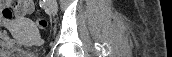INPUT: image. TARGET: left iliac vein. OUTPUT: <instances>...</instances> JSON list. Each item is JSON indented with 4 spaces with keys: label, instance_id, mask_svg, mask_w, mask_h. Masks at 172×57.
Here are the masks:
<instances>
[{
    "label": "left iliac vein",
    "instance_id": "obj_1",
    "mask_svg": "<svg viewBox=\"0 0 172 57\" xmlns=\"http://www.w3.org/2000/svg\"><path fill=\"white\" fill-rule=\"evenodd\" d=\"M47 8L50 14L55 15L58 8L56 0H47Z\"/></svg>",
    "mask_w": 172,
    "mask_h": 57
}]
</instances>
